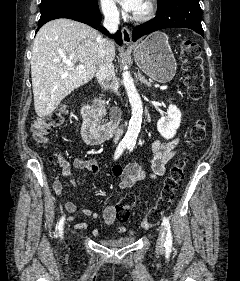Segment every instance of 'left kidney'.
Here are the masks:
<instances>
[{"label": "left kidney", "instance_id": "obj_1", "mask_svg": "<svg viewBox=\"0 0 240 281\" xmlns=\"http://www.w3.org/2000/svg\"><path fill=\"white\" fill-rule=\"evenodd\" d=\"M181 123V112L175 106L170 104L167 109V116L162 117L157 122V130L161 136L167 140L173 138Z\"/></svg>", "mask_w": 240, "mask_h": 281}]
</instances>
